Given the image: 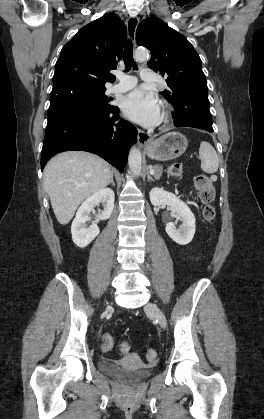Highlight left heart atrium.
Segmentation results:
<instances>
[{"mask_svg":"<svg viewBox=\"0 0 264 419\" xmlns=\"http://www.w3.org/2000/svg\"><path fill=\"white\" fill-rule=\"evenodd\" d=\"M122 110L125 116L144 126L158 124L161 117L158 100L143 88H136L124 97Z\"/></svg>","mask_w":264,"mask_h":419,"instance_id":"39dd6f15","label":"left heart atrium"}]
</instances>
